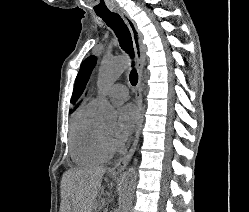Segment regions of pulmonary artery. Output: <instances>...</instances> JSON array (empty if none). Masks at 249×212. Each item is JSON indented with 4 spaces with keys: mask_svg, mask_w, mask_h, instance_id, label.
<instances>
[{
    "mask_svg": "<svg viewBox=\"0 0 249 212\" xmlns=\"http://www.w3.org/2000/svg\"><path fill=\"white\" fill-rule=\"evenodd\" d=\"M128 94V89L125 85L116 83L112 85L108 90H107V96L109 98H116V99H123L127 96ZM92 103L97 104L98 99L93 98L91 100Z\"/></svg>",
    "mask_w": 249,
    "mask_h": 212,
    "instance_id": "1",
    "label": "pulmonary artery"
}]
</instances>
